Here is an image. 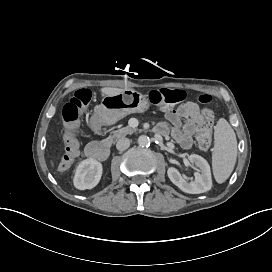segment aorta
<instances>
[{
    "label": "aorta",
    "instance_id": "1",
    "mask_svg": "<svg viewBox=\"0 0 272 272\" xmlns=\"http://www.w3.org/2000/svg\"><path fill=\"white\" fill-rule=\"evenodd\" d=\"M138 143H139L140 146L145 147V146H148L150 144V139L146 135H141L138 138Z\"/></svg>",
    "mask_w": 272,
    "mask_h": 272
}]
</instances>
